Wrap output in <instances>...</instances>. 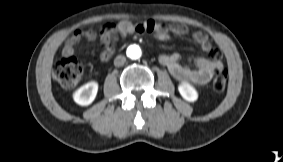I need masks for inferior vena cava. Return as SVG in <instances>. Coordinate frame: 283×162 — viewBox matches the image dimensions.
Returning a JSON list of instances; mask_svg holds the SVG:
<instances>
[{
  "instance_id": "obj_1",
  "label": "inferior vena cava",
  "mask_w": 283,
  "mask_h": 162,
  "mask_svg": "<svg viewBox=\"0 0 283 162\" xmlns=\"http://www.w3.org/2000/svg\"><path fill=\"white\" fill-rule=\"evenodd\" d=\"M125 62H126V57L123 55H118L114 60V65L116 67H119V66L124 65Z\"/></svg>"
}]
</instances>
